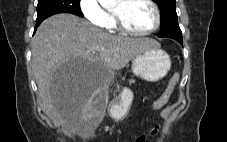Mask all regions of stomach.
Wrapping results in <instances>:
<instances>
[{
  "label": "stomach",
  "mask_w": 227,
  "mask_h": 142,
  "mask_svg": "<svg viewBox=\"0 0 227 142\" xmlns=\"http://www.w3.org/2000/svg\"><path fill=\"white\" fill-rule=\"evenodd\" d=\"M170 67V57L160 46L147 48L132 59L133 74L148 82H156L162 79L166 76ZM132 100V91L123 88L110 105L109 112L112 118L116 120L124 119L129 112Z\"/></svg>",
  "instance_id": "1"
}]
</instances>
